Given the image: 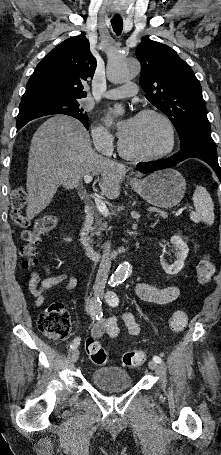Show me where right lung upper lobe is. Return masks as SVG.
<instances>
[{"label": "right lung upper lobe", "instance_id": "1", "mask_svg": "<svg viewBox=\"0 0 221 455\" xmlns=\"http://www.w3.org/2000/svg\"><path fill=\"white\" fill-rule=\"evenodd\" d=\"M96 59L84 35L71 37L56 46L37 65L19 107L86 97L83 84L93 77Z\"/></svg>", "mask_w": 221, "mask_h": 455}]
</instances>
